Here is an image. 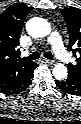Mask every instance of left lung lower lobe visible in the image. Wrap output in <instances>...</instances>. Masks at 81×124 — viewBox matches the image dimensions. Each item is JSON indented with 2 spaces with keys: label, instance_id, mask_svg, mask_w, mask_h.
I'll return each instance as SVG.
<instances>
[{
  "label": "left lung lower lobe",
  "instance_id": "obj_1",
  "mask_svg": "<svg viewBox=\"0 0 81 124\" xmlns=\"http://www.w3.org/2000/svg\"><path fill=\"white\" fill-rule=\"evenodd\" d=\"M56 86L67 94L81 95V83L72 77H68L65 81H56Z\"/></svg>",
  "mask_w": 81,
  "mask_h": 124
}]
</instances>
